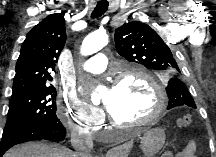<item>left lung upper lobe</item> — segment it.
I'll list each match as a JSON object with an SVG mask.
<instances>
[{
	"label": "left lung upper lobe",
	"mask_w": 216,
	"mask_h": 157,
	"mask_svg": "<svg viewBox=\"0 0 216 157\" xmlns=\"http://www.w3.org/2000/svg\"><path fill=\"white\" fill-rule=\"evenodd\" d=\"M114 38L118 54L127 61L172 76L166 87L169 104L177 102L196 108L187 87L178 78L181 66L172 55L174 49L164 43V39H161L153 27L139 21H130L115 30Z\"/></svg>",
	"instance_id": "obj_1"
}]
</instances>
